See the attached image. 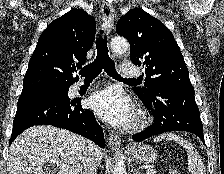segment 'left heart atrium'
<instances>
[{
    "label": "left heart atrium",
    "mask_w": 224,
    "mask_h": 174,
    "mask_svg": "<svg viewBox=\"0 0 224 174\" xmlns=\"http://www.w3.org/2000/svg\"><path fill=\"white\" fill-rule=\"evenodd\" d=\"M89 105L99 117L114 126H128L135 119L132 101L115 87L94 93Z\"/></svg>",
    "instance_id": "39dd6f15"
}]
</instances>
